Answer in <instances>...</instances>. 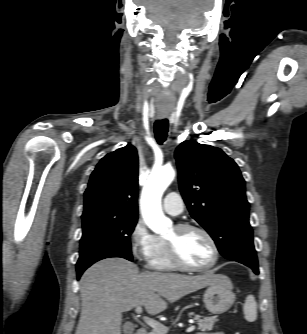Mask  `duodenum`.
Instances as JSON below:
<instances>
[{
  "mask_svg": "<svg viewBox=\"0 0 307 334\" xmlns=\"http://www.w3.org/2000/svg\"><path fill=\"white\" fill-rule=\"evenodd\" d=\"M135 334H147V331L144 327H140L135 331Z\"/></svg>",
  "mask_w": 307,
  "mask_h": 334,
  "instance_id": "duodenum-1",
  "label": "duodenum"
}]
</instances>
